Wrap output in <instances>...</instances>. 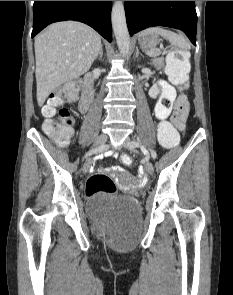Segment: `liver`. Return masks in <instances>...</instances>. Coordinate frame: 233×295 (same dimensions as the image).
<instances>
[{
	"mask_svg": "<svg viewBox=\"0 0 233 295\" xmlns=\"http://www.w3.org/2000/svg\"><path fill=\"white\" fill-rule=\"evenodd\" d=\"M101 46V36L81 22H57L41 32L34 44L38 105L43 106L56 88L86 73Z\"/></svg>",
	"mask_w": 233,
	"mask_h": 295,
	"instance_id": "liver-1",
	"label": "liver"
}]
</instances>
